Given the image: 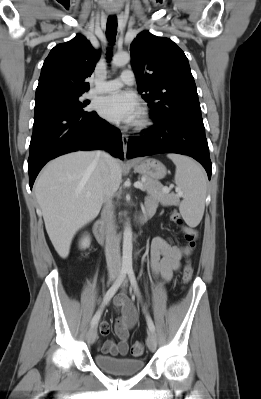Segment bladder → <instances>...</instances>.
<instances>
[{"label":"bladder","mask_w":261,"mask_h":399,"mask_svg":"<svg viewBox=\"0 0 261 399\" xmlns=\"http://www.w3.org/2000/svg\"><path fill=\"white\" fill-rule=\"evenodd\" d=\"M94 362L103 371L116 375H134L144 366L141 359L110 357L102 354H96Z\"/></svg>","instance_id":"obj_1"}]
</instances>
